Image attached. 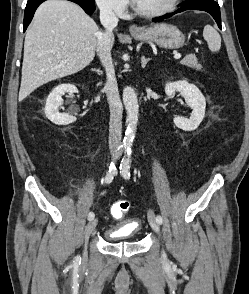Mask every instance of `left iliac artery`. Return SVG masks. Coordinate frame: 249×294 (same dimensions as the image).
<instances>
[{"label":"left iliac artery","mask_w":249,"mask_h":294,"mask_svg":"<svg viewBox=\"0 0 249 294\" xmlns=\"http://www.w3.org/2000/svg\"><path fill=\"white\" fill-rule=\"evenodd\" d=\"M131 154H132V146L129 145L126 147V155L125 157L122 159L121 165H120V172L122 173V176L125 179H129L130 177V164H131ZM156 222L158 224H162L163 219L160 215L156 216Z\"/></svg>","instance_id":"44dca946"}]
</instances>
